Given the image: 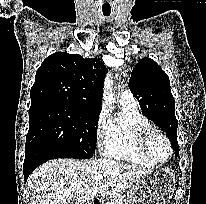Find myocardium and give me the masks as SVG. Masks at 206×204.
I'll return each mask as SVG.
<instances>
[{
    "instance_id": "myocardium-1",
    "label": "myocardium",
    "mask_w": 206,
    "mask_h": 204,
    "mask_svg": "<svg viewBox=\"0 0 206 204\" xmlns=\"http://www.w3.org/2000/svg\"><path fill=\"white\" fill-rule=\"evenodd\" d=\"M154 135L160 136L167 144L169 154H168L167 159L164 161H159L155 159L149 151V141L151 137ZM138 147L141 153L155 165H162V164L167 163L168 161H170L173 155V147L167 135L161 130L154 128V127H148L140 133L138 137Z\"/></svg>"
}]
</instances>
